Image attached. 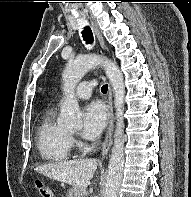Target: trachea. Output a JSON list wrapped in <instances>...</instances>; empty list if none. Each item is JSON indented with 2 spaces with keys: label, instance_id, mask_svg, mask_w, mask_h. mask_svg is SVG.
I'll use <instances>...</instances> for the list:
<instances>
[{
  "label": "trachea",
  "instance_id": "obj_1",
  "mask_svg": "<svg viewBox=\"0 0 191 197\" xmlns=\"http://www.w3.org/2000/svg\"><path fill=\"white\" fill-rule=\"evenodd\" d=\"M81 33H82L83 39L85 40L87 44L93 43V34L89 26H86ZM107 90H108V85H103L101 87V91L103 93H107Z\"/></svg>",
  "mask_w": 191,
  "mask_h": 197
}]
</instances>
